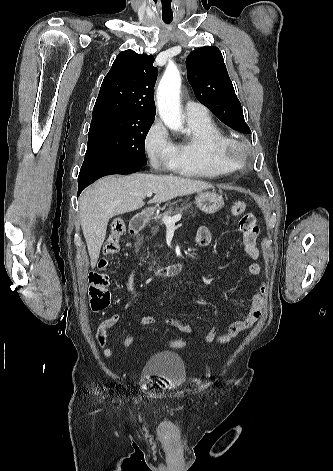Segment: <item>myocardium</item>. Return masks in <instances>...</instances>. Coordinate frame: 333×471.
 <instances>
[{
  "label": "myocardium",
  "instance_id": "1",
  "mask_svg": "<svg viewBox=\"0 0 333 471\" xmlns=\"http://www.w3.org/2000/svg\"><path fill=\"white\" fill-rule=\"evenodd\" d=\"M222 157L234 167L245 164L247 158V146L244 142L229 138L222 148Z\"/></svg>",
  "mask_w": 333,
  "mask_h": 471
}]
</instances>
